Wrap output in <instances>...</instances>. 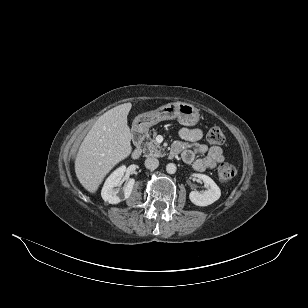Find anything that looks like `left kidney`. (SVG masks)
Segmentation results:
<instances>
[{
    "label": "left kidney",
    "instance_id": "1",
    "mask_svg": "<svg viewBox=\"0 0 308 308\" xmlns=\"http://www.w3.org/2000/svg\"><path fill=\"white\" fill-rule=\"evenodd\" d=\"M193 176L201 179L207 189L202 193L197 191L190 192L189 198L193 204L197 206H208L220 198V188L209 176L204 174H193Z\"/></svg>",
    "mask_w": 308,
    "mask_h": 308
}]
</instances>
